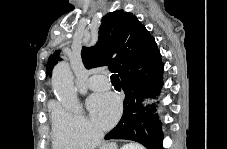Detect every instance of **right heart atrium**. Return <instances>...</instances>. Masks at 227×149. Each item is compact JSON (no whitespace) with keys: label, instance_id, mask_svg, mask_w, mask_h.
I'll use <instances>...</instances> for the list:
<instances>
[{"label":"right heart atrium","instance_id":"right-heart-atrium-1","mask_svg":"<svg viewBox=\"0 0 227 149\" xmlns=\"http://www.w3.org/2000/svg\"><path fill=\"white\" fill-rule=\"evenodd\" d=\"M52 135L54 145L63 149H80L95 146L102 133L79 112L64 108L59 103L52 105Z\"/></svg>","mask_w":227,"mask_h":149}]
</instances>
